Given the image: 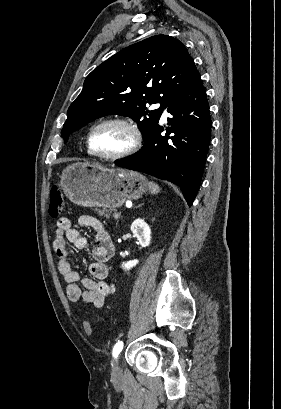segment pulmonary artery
Listing matches in <instances>:
<instances>
[{
	"mask_svg": "<svg viewBox=\"0 0 281 409\" xmlns=\"http://www.w3.org/2000/svg\"><path fill=\"white\" fill-rule=\"evenodd\" d=\"M158 106H159V104H158ZM169 115L170 114H169L167 108H163V117L166 118V117H169Z\"/></svg>",
	"mask_w": 281,
	"mask_h": 409,
	"instance_id": "obj_1",
	"label": "pulmonary artery"
}]
</instances>
